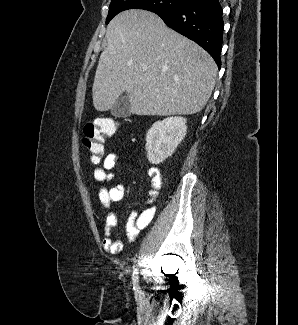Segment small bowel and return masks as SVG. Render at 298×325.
<instances>
[{"mask_svg":"<svg viewBox=\"0 0 298 325\" xmlns=\"http://www.w3.org/2000/svg\"><path fill=\"white\" fill-rule=\"evenodd\" d=\"M119 161V155L110 153L104 157L94 161L98 164L94 171V178L102 183H107L114 177V168ZM150 181V189L148 197L145 201V209L138 213L133 211L126 222V237L129 242L135 241L139 232L146 228L154 218L156 211V199L159 189L162 185L161 172L156 167H151L147 171ZM125 194V187L122 184L103 185L99 190V200L106 210V221L104 227L105 237L103 239V247L106 251L116 254L124 249V241L122 239H112L113 228L118 219V214L114 206L120 202Z\"/></svg>","mask_w":298,"mask_h":325,"instance_id":"obj_1","label":"small bowel"}]
</instances>
